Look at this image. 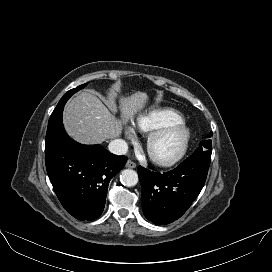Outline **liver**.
I'll return each instance as SVG.
<instances>
[{
	"label": "liver",
	"mask_w": 272,
	"mask_h": 272,
	"mask_svg": "<svg viewBox=\"0 0 272 272\" xmlns=\"http://www.w3.org/2000/svg\"><path fill=\"white\" fill-rule=\"evenodd\" d=\"M145 92L119 96L121 120H117L105 105L90 92L84 91L68 101L63 112V124L68 135L82 144H98L121 135L123 125L148 102Z\"/></svg>",
	"instance_id": "6515ba94"
}]
</instances>
